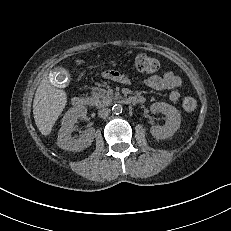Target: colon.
Wrapping results in <instances>:
<instances>
[{
  "instance_id": "1",
  "label": "colon",
  "mask_w": 231,
  "mask_h": 231,
  "mask_svg": "<svg viewBox=\"0 0 231 231\" xmlns=\"http://www.w3.org/2000/svg\"><path fill=\"white\" fill-rule=\"evenodd\" d=\"M134 66L137 71L144 73V74H154L160 68L159 61L147 54H138L134 58ZM197 102L196 100L191 97L187 96L182 101V108L187 113H192L196 110Z\"/></svg>"
}]
</instances>
